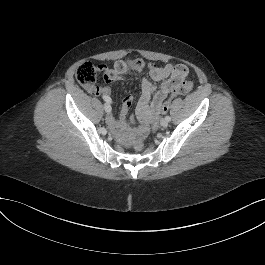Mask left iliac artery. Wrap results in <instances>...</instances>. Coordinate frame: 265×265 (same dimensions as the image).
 <instances>
[{
    "label": "left iliac artery",
    "instance_id": "obj_1",
    "mask_svg": "<svg viewBox=\"0 0 265 265\" xmlns=\"http://www.w3.org/2000/svg\"><path fill=\"white\" fill-rule=\"evenodd\" d=\"M165 119L169 122L171 120L170 116H166Z\"/></svg>",
    "mask_w": 265,
    "mask_h": 265
}]
</instances>
